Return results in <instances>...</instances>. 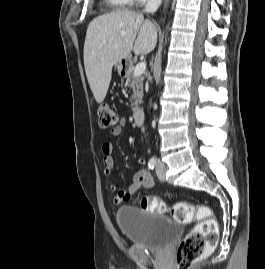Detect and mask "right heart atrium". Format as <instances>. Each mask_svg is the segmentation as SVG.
<instances>
[{"label":"right heart atrium","instance_id":"1","mask_svg":"<svg viewBox=\"0 0 265 269\" xmlns=\"http://www.w3.org/2000/svg\"><path fill=\"white\" fill-rule=\"evenodd\" d=\"M147 1H152V0H132V2L136 3V4H141V3H144V2H147Z\"/></svg>","mask_w":265,"mask_h":269}]
</instances>
